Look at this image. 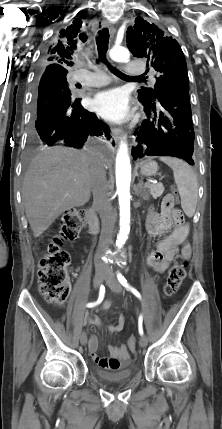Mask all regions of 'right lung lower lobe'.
Instances as JSON below:
<instances>
[{
  "instance_id": "right-lung-lower-lobe-1",
  "label": "right lung lower lobe",
  "mask_w": 222,
  "mask_h": 429,
  "mask_svg": "<svg viewBox=\"0 0 222 429\" xmlns=\"http://www.w3.org/2000/svg\"><path fill=\"white\" fill-rule=\"evenodd\" d=\"M69 86L52 72L39 77L34 111V130L43 145L65 144L81 148L88 137L111 138L109 127L80 105Z\"/></svg>"
}]
</instances>
